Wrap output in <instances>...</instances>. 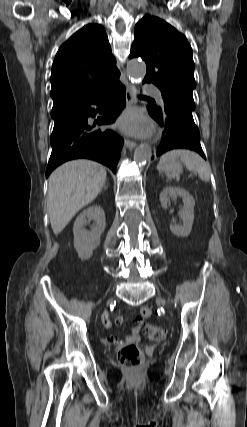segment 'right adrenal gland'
<instances>
[{
	"label": "right adrenal gland",
	"instance_id": "obj_1",
	"mask_svg": "<svg viewBox=\"0 0 247 427\" xmlns=\"http://www.w3.org/2000/svg\"><path fill=\"white\" fill-rule=\"evenodd\" d=\"M102 189L107 190L108 189V185L105 183L102 187Z\"/></svg>",
	"mask_w": 247,
	"mask_h": 427
}]
</instances>
